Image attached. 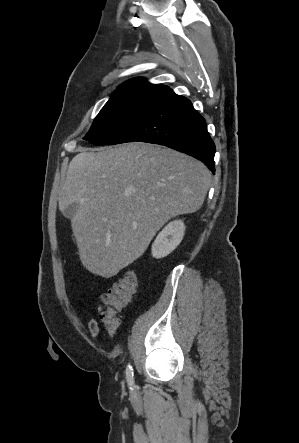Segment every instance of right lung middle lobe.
<instances>
[{
  "instance_id": "obj_1",
  "label": "right lung middle lobe",
  "mask_w": 299,
  "mask_h": 443,
  "mask_svg": "<svg viewBox=\"0 0 299 443\" xmlns=\"http://www.w3.org/2000/svg\"><path fill=\"white\" fill-rule=\"evenodd\" d=\"M166 90L161 87L116 90L83 139L98 146L111 143Z\"/></svg>"
}]
</instances>
